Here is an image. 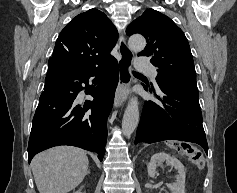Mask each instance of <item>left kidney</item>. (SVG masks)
<instances>
[{
    "label": "left kidney",
    "instance_id": "1",
    "mask_svg": "<svg viewBox=\"0 0 237 193\" xmlns=\"http://www.w3.org/2000/svg\"><path fill=\"white\" fill-rule=\"evenodd\" d=\"M174 167L178 171V175L176 177V182H173L172 184L168 185V188L171 190L172 193H185V168L183 164L174 156H170L167 153L159 152L154 154L151 157V160L147 166L148 168V175L150 177H155L157 172L156 169L159 165L163 164L165 162Z\"/></svg>",
    "mask_w": 237,
    "mask_h": 193
}]
</instances>
